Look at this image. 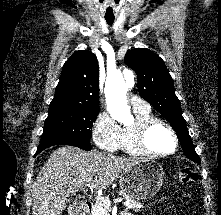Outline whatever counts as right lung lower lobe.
Segmentation results:
<instances>
[{
  "mask_svg": "<svg viewBox=\"0 0 221 215\" xmlns=\"http://www.w3.org/2000/svg\"><path fill=\"white\" fill-rule=\"evenodd\" d=\"M60 144L76 146V147H79V148H81L83 150H86V151H89L92 148L89 139H79V140H74V141L60 143ZM53 145H58V144L39 145V147L37 148L35 156L37 154H39L41 151H43L44 149H46V148H48L50 146H53Z\"/></svg>",
  "mask_w": 221,
  "mask_h": 215,
  "instance_id": "right-lung-lower-lobe-1",
  "label": "right lung lower lobe"
}]
</instances>
